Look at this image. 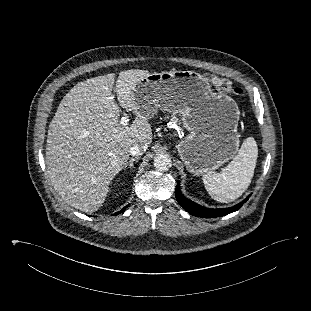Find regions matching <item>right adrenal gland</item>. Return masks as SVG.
I'll return each mask as SVG.
<instances>
[{
	"mask_svg": "<svg viewBox=\"0 0 311 311\" xmlns=\"http://www.w3.org/2000/svg\"><path fill=\"white\" fill-rule=\"evenodd\" d=\"M139 160V157L131 158L129 162L125 163L124 170L129 166L130 170L134 167V162Z\"/></svg>",
	"mask_w": 311,
	"mask_h": 311,
	"instance_id": "obj_1",
	"label": "right adrenal gland"
}]
</instances>
